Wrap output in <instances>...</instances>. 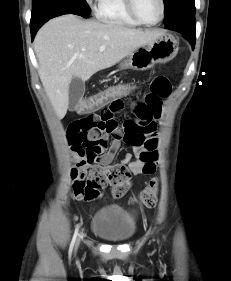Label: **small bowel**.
<instances>
[{
    "label": "small bowel",
    "mask_w": 231,
    "mask_h": 281,
    "mask_svg": "<svg viewBox=\"0 0 231 281\" xmlns=\"http://www.w3.org/2000/svg\"><path fill=\"white\" fill-rule=\"evenodd\" d=\"M146 87L148 91L132 101L134 119L118 125L115 114L124 108L121 99L104 106L100 114L89 112L68 125L67 142L75 163L70 173L72 186L77 181H83L88 168L93 165L106 170L123 165L133 175L155 171L157 140L154 136L162 117L163 100L169 96L171 87L169 80L162 75L149 78ZM145 135L151 137L146 139ZM108 137L112 138L110 144ZM122 141L132 147L135 161L131 153H126L120 162L115 161Z\"/></svg>",
    "instance_id": "obj_1"
}]
</instances>
